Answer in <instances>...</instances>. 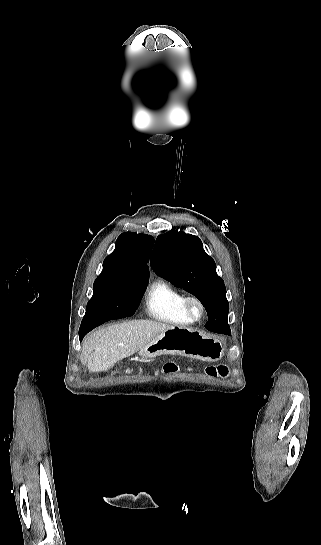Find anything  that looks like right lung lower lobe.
Listing matches in <instances>:
<instances>
[{
	"instance_id": "obj_1",
	"label": "right lung lower lobe",
	"mask_w": 321,
	"mask_h": 545,
	"mask_svg": "<svg viewBox=\"0 0 321 545\" xmlns=\"http://www.w3.org/2000/svg\"><path fill=\"white\" fill-rule=\"evenodd\" d=\"M140 299L141 297L125 294L110 300L99 308L98 318L95 321L81 323L79 329L80 341L88 332L106 321L132 316L138 308Z\"/></svg>"
}]
</instances>
